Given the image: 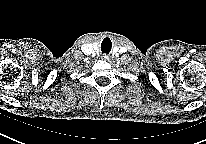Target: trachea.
Returning <instances> with one entry per match:
<instances>
[{
	"label": "trachea",
	"instance_id": "obj_1",
	"mask_svg": "<svg viewBox=\"0 0 206 144\" xmlns=\"http://www.w3.org/2000/svg\"><path fill=\"white\" fill-rule=\"evenodd\" d=\"M101 50L103 53H109V51H110L109 48H104V47L103 48L101 47Z\"/></svg>",
	"mask_w": 206,
	"mask_h": 144
}]
</instances>
